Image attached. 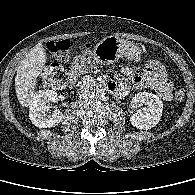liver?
Returning <instances> with one entry per match:
<instances>
[{
  "mask_svg": "<svg viewBox=\"0 0 195 195\" xmlns=\"http://www.w3.org/2000/svg\"><path fill=\"white\" fill-rule=\"evenodd\" d=\"M46 52L42 44L35 45L17 68L15 91L22 106H30L36 87V78L45 67Z\"/></svg>",
  "mask_w": 195,
  "mask_h": 195,
  "instance_id": "1",
  "label": "liver"
}]
</instances>
